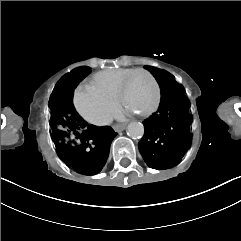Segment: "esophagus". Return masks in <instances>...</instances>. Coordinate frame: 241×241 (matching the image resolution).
<instances>
[{
    "label": "esophagus",
    "mask_w": 241,
    "mask_h": 241,
    "mask_svg": "<svg viewBox=\"0 0 241 241\" xmlns=\"http://www.w3.org/2000/svg\"><path fill=\"white\" fill-rule=\"evenodd\" d=\"M113 129L116 131V132H121L125 129V125H114L113 126Z\"/></svg>",
    "instance_id": "34e87169"
}]
</instances>
